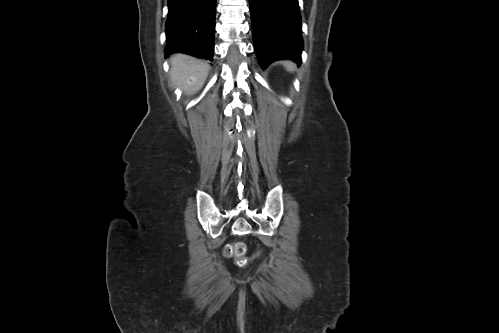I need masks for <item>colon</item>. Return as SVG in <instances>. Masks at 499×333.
Here are the masks:
<instances>
[{
    "label": "colon",
    "instance_id": "obj_1",
    "mask_svg": "<svg viewBox=\"0 0 499 333\" xmlns=\"http://www.w3.org/2000/svg\"><path fill=\"white\" fill-rule=\"evenodd\" d=\"M224 253L228 257H233L238 266L244 267L248 264L246 257V246L242 242H235L225 247Z\"/></svg>",
    "mask_w": 499,
    "mask_h": 333
}]
</instances>
